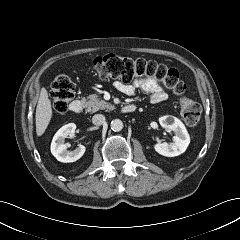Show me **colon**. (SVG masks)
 Returning <instances> with one entry per match:
<instances>
[{"mask_svg":"<svg viewBox=\"0 0 240 240\" xmlns=\"http://www.w3.org/2000/svg\"><path fill=\"white\" fill-rule=\"evenodd\" d=\"M93 67L102 80L117 79L125 84L132 81L152 78L162 81L175 95H182L186 85L181 80L177 70L143 58H124L113 54L95 58ZM75 95V84L65 74L55 77L51 90L53 112L62 114L66 111L69 101ZM181 115L191 126L200 120L201 108L193 100L181 97L179 101Z\"/></svg>","mask_w":240,"mask_h":240,"instance_id":"1","label":"colon"}]
</instances>
